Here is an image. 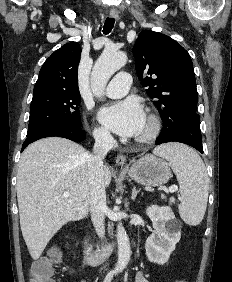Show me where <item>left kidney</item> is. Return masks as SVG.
<instances>
[{
    "mask_svg": "<svg viewBox=\"0 0 232 282\" xmlns=\"http://www.w3.org/2000/svg\"><path fill=\"white\" fill-rule=\"evenodd\" d=\"M146 213L153 226V232L145 243L146 255L150 262L162 265L168 261L181 238V226L168 206L152 205Z\"/></svg>",
    "mask_w": 232,
    "mask_h": 282,
    "instance_id": "left-kidney-1",
    "label": "left kidney"
}]
</instances>
